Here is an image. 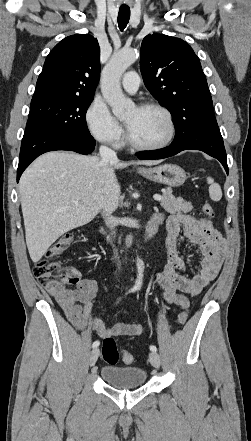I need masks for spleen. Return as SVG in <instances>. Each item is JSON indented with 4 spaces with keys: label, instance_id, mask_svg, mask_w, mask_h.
<instances>
[{
    "label": "spleen",
    "instance_id": "obj_1",
    "mask_svg": "<svg viewBox=\"0 0 251 441\" xmlns=\"http://www.w3.org/2000/svg\"><path fill=\"white\" fill-rule=\"evenodd\" d=\"M207 183L209 186V195L211 200L219 201L222 198V190L218 183L214 182V179L211 177H207Z\"/></svg>",
    "mask_w": 251,
    "mask_h": 441
}]
</instances>
